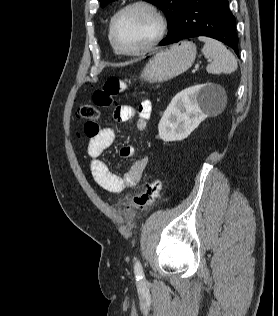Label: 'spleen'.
<instances>
[{
    "mask_svg": "<svg viewBox=\"0 0 278 316\" xmlns=\"http://www.w3.org/2000/svg\"><path fill=\"white\" fill-rule=\"evenodd\" d=\"M199 40L205 43L202 49L203 55L213 60L206 68L208 73L230 74L237 69L235 56L221 42L203 36L199 37Z\"/></svg>",
    "mask_w": 278,
    "mask_h": 316,
    "instance_id": "1",
    "label": "spleen"
}]
</instances>
